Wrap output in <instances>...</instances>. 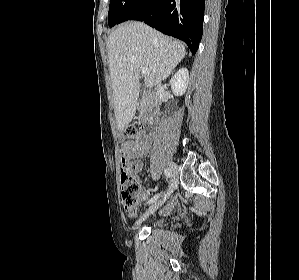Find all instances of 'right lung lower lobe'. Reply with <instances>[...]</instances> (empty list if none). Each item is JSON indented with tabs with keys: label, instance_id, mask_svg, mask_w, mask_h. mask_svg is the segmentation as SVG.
<instances>
[{
	"label": "right lung lower lobe",
	"instance_id": "98d812e1",
	"mask_svg": "<svg viewBox=\"0 0 299 280\" xmlns=\"http://www.w3.org/2000/svg\"><path fill=\"white\" fill-rule=\"evenodd\" d=\"M204 3L205 0H137L121 22L144 21L164 34L183 40L195 54L203 32Z\"/></svg>",
	"mask_w": 299,
	"mask_h": 280
}]
</instances>
